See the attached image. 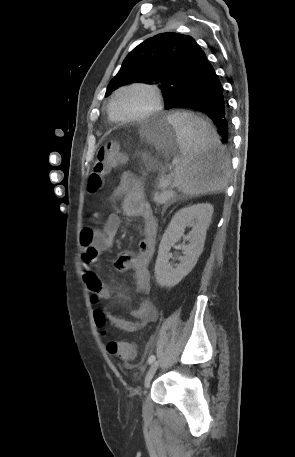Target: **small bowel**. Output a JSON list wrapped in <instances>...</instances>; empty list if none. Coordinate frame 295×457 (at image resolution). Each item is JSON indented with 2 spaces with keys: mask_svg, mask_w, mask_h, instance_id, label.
<instances>
[{
  "mask_svg": "<svg viewBox=\"0 0 295 457\" xmlns=\"http://www.w3.org/2000/svg\"><path fill=\"white\" fill-rule=\"evenodd\" d=\"M114 197H122V209L126 216L139 217L143 222V238L137 254L125 251L114 260L117 271H131L135 282L136 292L147 295L150 292V273L148 265L155 250L157 236V221L151 206L145 199L141 182L131 172H124L113 191ZM121 225L119 216L115 213L100 211L93 216V226L83 228L80 235L82 247L81 268L82 279L95 299L111 300L115 297L113 291L102 282L96 272V262L101 253L111 249L114 238ZM104 312L106 325H111L121 331L133 333L141 330L159 318V312L154 303L145 299L137 309L130 312L134 320H127Z\"/></svg>",
  "mask_w": 295,
  "mask_h": 457,
  "instance_id": "1",
  "label": "small bowel"
}]
</instances>
